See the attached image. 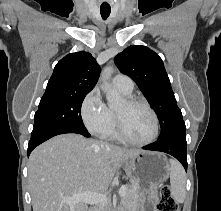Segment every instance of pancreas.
<instances>
[{"label": "pancreas", "mask_w": 221, "mask_h": 211, "mask_svg": "<svg viewBox=\"0 0 221 211\" xmlns=\"http://www.w3.org/2000/svg\"><path fill=\"white\" fill-rule=\"evenodd\" d=\"M132 183V182H131ZM125 211H138L140 204V192L136 184L127 187V192L122 198ZM94 211H109L106 206H98Z\"/></svg>", "instance_id": "1"}]
</instances>
